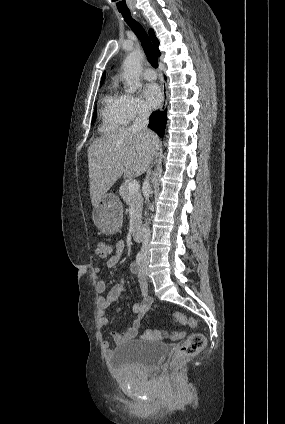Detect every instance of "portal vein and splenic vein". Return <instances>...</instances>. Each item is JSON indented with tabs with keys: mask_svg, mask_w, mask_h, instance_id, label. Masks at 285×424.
I'll return each mask as SVG.
<instances>
[{
	"mask_svg": "<svg viewBox=\"0 0 285 424\" xmlns=\"http://www.w3.org/2000/svg\"><path fill=\"white\" fill-rule=\"evenodd\" d=\"M139 189H140V185L138 181L132 180L128 183V190L130 194L136 193L137 191H139Z\"/></svg>",
	"mask_w": 285,
	"mask_h": 424,
	"instance_id": "portal-vein-and-splenic-vein-1",
	"label": "portal vein and splenic vein"
}]
</instances>
